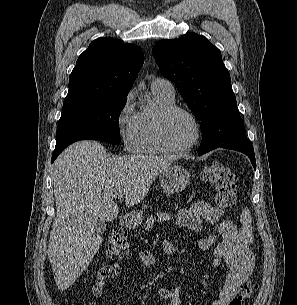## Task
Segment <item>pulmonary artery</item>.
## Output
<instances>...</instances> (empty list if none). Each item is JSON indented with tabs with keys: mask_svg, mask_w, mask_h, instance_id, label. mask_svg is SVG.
<instances>
[{
	"mask_svg": "<svg viewBox=\"0 0 297 305\" xmlns=\"http://www.w3.org/2000/svg\"><path fill=\"white\" fill-rule=\"evenodd\" d=\"M151 89L159 91L168 97L174 98L175 89L171 81L166 78H156L151 83Z\"/></svg>",
	"mask_w": 297,
	"mask_h": 305,
	"instance_id": "e3ab8cb5",
	"label": "pulmonary artery"
}]
</instances>
